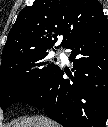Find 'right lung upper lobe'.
<instances>
[{"mask_svg": "<svg viewBox=\"0 0 108 127\" xmlns=\"http://www.w3.org/2000/svg\"><path fill=\"white\" fill-rule=\"evenodd\" d=\"M105 18L97 0H35L19 13L2 52V64L21 56L46 52L63 35L70 42Z\"/></svg>", "mask_w": 108, "mask_h": 127, "instance_id": "obj_1", "label": "right lung upper lobe"}]
</instances>
